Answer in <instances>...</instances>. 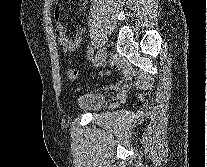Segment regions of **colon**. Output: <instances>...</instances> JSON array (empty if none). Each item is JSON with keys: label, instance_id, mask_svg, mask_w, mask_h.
Here are the masks:
<instances>
[{"label": "colon", "instance_id": "obj_1", "mask_svg": "<svg viewBox=\"0 0 207 167\" xmlns=\"http://www.w3.org/2000/svg\"><path fill=\"white\" fill-rule=\"evenodd\" d=\"M108 72H100L98 73L99 77L105 76L107 75ZM65 75L67 77V79L69 80H75L78 77V71L76 69L73 68H67L65 71Z\"/></svg>", "mask_w": 207, "mask_h": 167}]
</instances>
